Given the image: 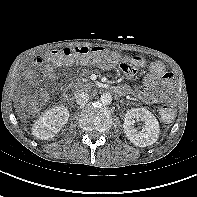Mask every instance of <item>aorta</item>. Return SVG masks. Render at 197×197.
<instances>
[{
	"label": "aorta",
	"mask_w": 197,
	"mask_h": 197,
	"mask_svg": "<svg viewBox=\"0 0 197 197\" xmlns=\"http://www.w3.org/2000/svg\"><path fill=\"white\" fill-rule=\"evenodd\" d=\"M100 100L101 102L104 104V105H109L111 104L112 102V95L108 92L106 93H103L100 97Z\"/></svg>",
	"instance_id": "obj_1"
}]
</instances>
